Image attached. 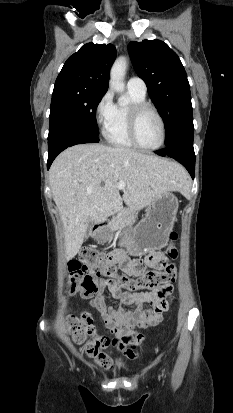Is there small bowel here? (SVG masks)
<instances>
[{
    "label": "small bowel",
    "mask_w": 233,
    "mask_h": 413,
    "mask_svg": "<svg viewBox=\"0 0 233 413\" xmlns=\"http://www.w3.org/2000/svg\"><path fill=\"white\" fill-rule=\"evenodd\" d=\"M111 257L117 262L119 271L126 276L141 275L147 267L161 268L167 263L166 257L154 250H149L145 262L136 260L134 255H124L122 247H115ZM108 289L112 298L118 302L117 307L106 305L104 290ZM172 284H165L160 288L148 292H122L120 287L112 281H101L96 295L90 304L100 314L105 327L115 335L113 345L122 351L128 358L137 357V347L144 336L137 333V328L153 327L163 319V312L167 310L170 301L175 298ZM144 304H152V310H144ZM122 305H132L133 308L125 311Z\"/></svg>",
    "instance_id": "1"
}]
</instances>
